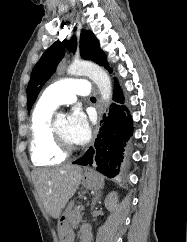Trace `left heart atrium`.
<instances>
[{"instance_id": "obj_1", "label": "left heart atrium", "mask_w": 187, "mask_h": 242, "mask_svg": "<svg viewBox=\"0 0 187 242\" xmlns=\"http://www.w3.org/2000/svg\"><path fill=\"white\" fill-rule=\"evenodd\" d=\"M66 135L75 145L84 144L89 139V123L86 115L80 109H74L68 116Z\"/></svg>"}]
</instances>
